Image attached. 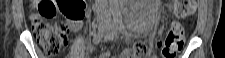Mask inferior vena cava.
<instances>
[{"instance_id": "inferior-vena-cava-1", "label": "inferior vena cava", "mask_w": 225, "mask_h": 58, "mask_svg": "<svg viewBox=\"0 0 225 58\" xmlns=\"http://www.w3.org/2000/svg\"><path fill=\"white\" fill-rule=\"evenodd\" d=\"M97 14L101 17H105L107 15V7L104 0L97 1Z\"/></svg>"}]
</instances>
